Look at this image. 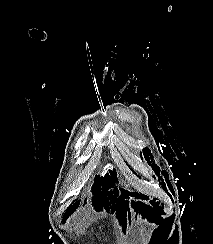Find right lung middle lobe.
<instances>
[{
	"mask_svg": "<svg viewBox=\"0 0 213 244\" xmlns=\"http://www.w3.org/2000/svg\"><path fill=\"white\" fill-rule=\"evenodd\" d=\"M110 174H111V176H112V180H115L116 179V173L113 171V173L112 172H110ZM107 178V177H106ZM98 179H99V177H98ZM111 179V178H110ZM100 180V179H99ZM99 182V181H98Z\"/></svg>",
	"mask_w": 213,
	"mask_h": 244,
	"instance_id": "right-lung-middle-lobe-1",
	"label": "right lung middle lobe"
}]
</instances>
